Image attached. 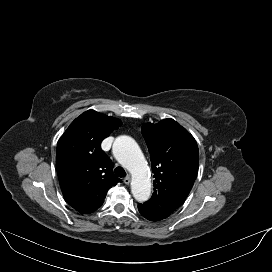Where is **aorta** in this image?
<instances>
[{"instance_id":"aorta-1","label":"aorta","mask_w":272,"mask_h":272,"mask_svg":"<svg viewBox=\"0 0 272 272\" xmlns=\"http://www.w3.org/2000/svg\"><path fill=\"white\" fill-rule=\"evenodd\" d=\"M112 150L116 160L132 174L131 192L134 198L138 202L148 200L151 181L146 160L136 141L130 136H119L115 139Z\"/></svg>"}]
</instances>
